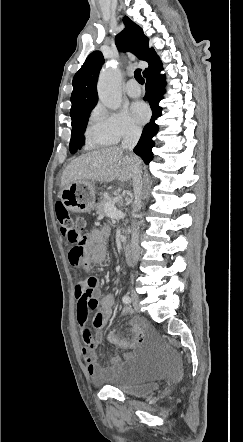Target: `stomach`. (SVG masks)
Wrapping results in <instances>:
<instances>
[{"instance_id": "stomach-1", "label": "stomach", "mask_w": 243, "mask_h": 442, "mask_svg": "<svg viewBox=\"0 0 243 442\" xmlns=\"http://www.w3.org/2000/svg\"><path fill=\"white\" fill-rule=\"evenodd\" d=\"M95 193L94 183L77 181L63 187L59 197L68 210L89 213L95 204Z\"/></svg>"}]
</instances>
